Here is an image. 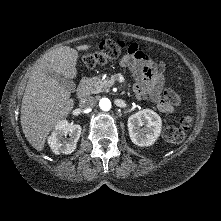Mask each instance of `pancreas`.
Masks as SVG:
<instances>
[{"label": "pancreas", "mask_w": 221, "mask_h": 221, "mask_svg": "<svg viewBox=\"0 0 221 221\" xmlns=\"http://www.w3.org/2000/svg\"><path fill=\"white\" fill-rule=\"evenodd\" d=\"M115 80H116L115 75L104 78V79H100V77H96L92 80L89 86V91L94 94L107 91L113 85Z\"/></svg>", "instance_id": "pancreas-1"}]
</instances>
